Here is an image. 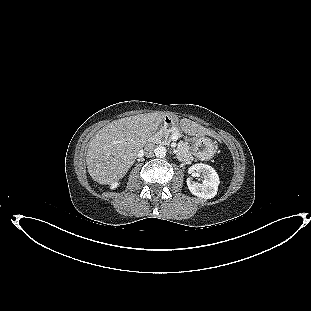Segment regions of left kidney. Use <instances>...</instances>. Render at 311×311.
I'll return each instance as SVG.
<instances>
[{"mask_svg": "<svg viewBox=\"0 0 311 311\" xmlns=\"http://www.w3.org/2000/svg\"><path fill=\"white\" fill-rule=\"evenodd\" d=\"M188 171L189 173L199 172L204 178L202 183L192 181L191 178L187 179L188 189L193 195L203 199H211L216 196L220 180L214 168L200 163L191 166Z\"/></svg>", "mask_w": 311, "mask_h": 311, "instance_id": "1", "label": "left kidney"}]
</instances>
